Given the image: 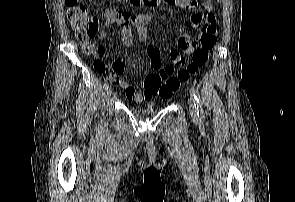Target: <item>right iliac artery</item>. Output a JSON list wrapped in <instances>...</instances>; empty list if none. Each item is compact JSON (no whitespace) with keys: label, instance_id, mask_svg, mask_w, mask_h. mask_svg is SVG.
Wrapping results in <instances>:
<instances>
[{"label":"right iliac artery","instance_id":"1","mask_svg":"<svg viewBox=\"0 0 295 202\" xmlns=\"http://www.w3.org/2000/svg\"><path fill=\"white\" fill-rule=\"evenodd\" d=\"M103 87H104L105 90H107L109 88V84L105 83Z\"/></svg>","mask_w":295,"mask_h":202}]
</instances>
